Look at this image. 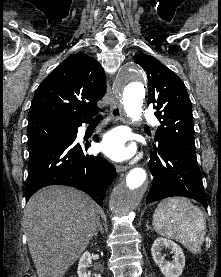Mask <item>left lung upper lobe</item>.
Segmentation results:
<instances>
[{"label": "left lung upper lobe", "instance_id": "5c2ea615", "mask_svg": "<svg viewBox=\"0 0 221 277\" xmlns=\"http://www.w3.org/2000/svg\"><path fill=\"white\" fill-rule=\"evenodd\" d=\"M134 62L148 78V105L151 103L161 125L155 142L171 144L196 158L192 106L182 80L156 58L138 54Z\"/></svg>", "mask_w": 221, "mask_h": 277}]
</instances>
